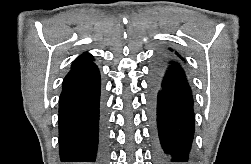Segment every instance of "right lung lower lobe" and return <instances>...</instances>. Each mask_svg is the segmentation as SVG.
I'll list each match as a JSON object with an SVG mask.
<instances>
[{"label": "right lung lower lobe", "instance_id": "obj_1", "mask_svg": "<svg viewBox=\"0 0 251 164\" xmlns=\"http://www.w3.org/2000/svg\"><path fill=\"white\" fill-rule=\"evenodd\" d=\"M100 86V73L94 63L73 68L64 78L59 99L62 162H105L106 135L100 111Z\"/></svg>", "mask_w": 251, "mask_h": 164}]
</instances>
